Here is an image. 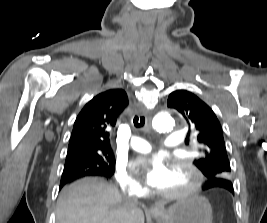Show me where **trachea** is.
<instances>
[{"label":"trachea","instance_id":"obj_1","mask_svg":"<svg viewBox=\"0 0 267 223\" xmlns=\"http://www.w3.org/2000/svg\"><path fill=\"white\" fill-rule=\"evenodd\" d=\"M133 124L136 128H142L145 125V117L135 115L133 118Z\"/></svg>","mask_w":267,"mask_h":223}]
</instances>
